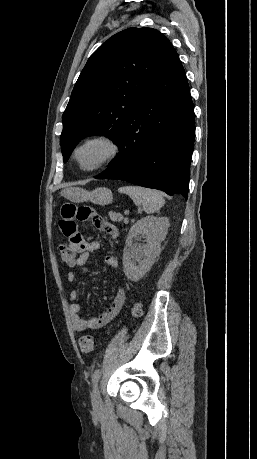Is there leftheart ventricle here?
Listing matches in <instances>:
<instances>
[{
  "label": "left heart ventricle",
  "mask_w": 257,
  "mask_h": 459,
  "mask_svg": "<svg viewBox=\"0 0 257 459\" xmlns=\"http://www.w3.org/2000/svg\"><path fill=\"white\" fill-rule=\"evenodd\" d=\"M107 149L100 144H91L82 148L78 153V160L84 167H90L105 156Z\"/></svg>",
  "instance_id": "left-heart-ventricle-1"
}]
</instances>
